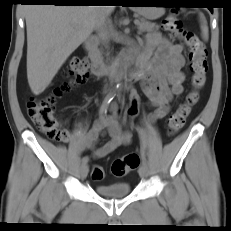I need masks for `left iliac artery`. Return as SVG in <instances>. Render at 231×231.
Masks as SVG:
<instances>
[{
    "label": "left iliac artery",
    "mask_w": 231,
    "mask_h": 231,
    "mask_svg": "<svg viewBox=\"0 0 231 231\" xmlns=\"http://www.w3.org/2000/svg\"><path fill=\"white\" fill-rule=\"evenodd\" d=\"M139 134H140V138H141V159H142V163L143 164H148L147 159H146V155H145V151H144V139H145V132L143 129L141 128H137Z\"/></svg>",
    "instance_id": "obj_1"
}]
</instances>
